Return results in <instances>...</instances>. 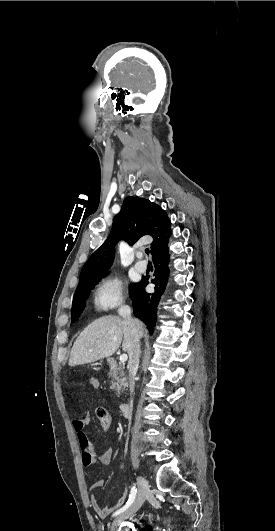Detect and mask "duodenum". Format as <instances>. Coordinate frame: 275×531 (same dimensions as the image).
<instances>
[{"instance_id":"1","label":"duodenum","mask_w":275,"mask_h":531,"mask_svg":"<svg viewBox=\"0 0 275 531\" xmlns=\"http://www.w3.org/2000/svg\"><path fill=\"white\" fill-rule=\"evenodd\" d=\"M108 365L111 369L115 370L118 367L117 361L113 357L107 358ZM130 405L128 402H123L120 404V412L123 416H126L129 413Z\"/></svg>"}]
</instances>
